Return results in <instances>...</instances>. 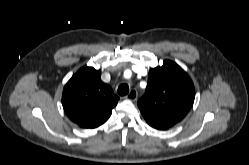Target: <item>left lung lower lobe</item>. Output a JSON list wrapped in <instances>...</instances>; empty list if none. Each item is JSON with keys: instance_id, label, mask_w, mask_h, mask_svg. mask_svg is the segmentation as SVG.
<instances>
[{"instance_id": "obj_1", "label": "left lung lower lobe", "mask_w": 249, "mask_h": 165, "mask_svg": "<svg viewBox=\"0 0 249 165\" xmlns=\"http://www.w3.org/2000/svg\"><path fill=\"white\" fill-rule=\"evenodd\" d=\"M156 129H159V130H166L165 128H158V127H154Z\"/></svg>"}]
</instances>
